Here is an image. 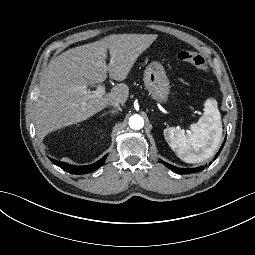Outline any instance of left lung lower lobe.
Wrapping results in <instances>:
<instances>
[{"label":"left lung lower lobe","mask_w":255,"mask_h":255,"mask_svg":"<svg viewBox=\"0 0 255 255\" xmlns=\"http://www.w3.org/2000/svg\"><path fill=\"white\" fill-rule=\"evenodd\" d=\"M225 141L226 139L224 140L221 148H220V151L222 150L224 144H225ZM220 151L217 153L216 157L219 155ZM216 157L214 158V160L216 159ZM162 163L167 166L169 169H171L172 171L176 172V173H179V174H190V173H194V172H200L201 170H203L205 167H207V165L205 166H200V167H197V168H192V169H182V168H177L173 165H170L164 161H162Z\"/></svg>","instance_id":"left-lung-lower-lobe-1"}]
</instances>
